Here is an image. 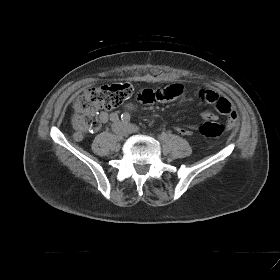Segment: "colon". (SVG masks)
Instances as JSON below:
<instances>
[{
	"label": "colon",
	"instance_id": "colon-1",
	"mask_svg": "<svg viewBox=\"0 0 280 280\" xmlns=\"http://www.w3.org/2000/svg\"><path fill=\"white\" fill-rule=\"evenodd\" d=\"M133 92L128 82L106 84L85 89L77 98L76 106L82 112L81 122L85 128L95 130L99 126L98 112L110 110L121 105ZM227 126L207 121L199 125V131L206 137L222 135Z\"/></svg>",
	"mask_w": 280,
	"mask_h": 280
}]
</instances>
